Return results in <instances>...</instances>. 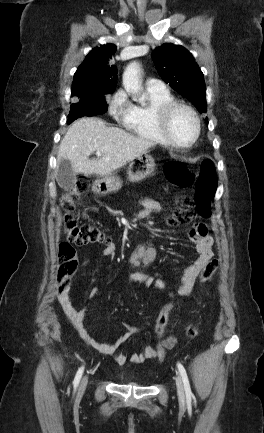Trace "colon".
<instances>
[{"mask_svg": "<svg viewBox=\"0 0 264 433\" xmlns=\"http://www.w3.org/2000/svg\"><path fill=\"white\" fill-rule=\"evenodd\" d=\"M164 172L167 180L180 188L194 186L192 196H183L178 201V208L168 218L170 225L189 224L198 217H209L212 212V199L216 186V174L211 160L204 159L197 169H192L184 164L168 162ZM88 182L84 179L77 183L63 196L62 206L65 210L63 229L67 236V241L62 242L58 254V282L59 291H62L78 266V255L73 247L86 246L90 244L111 243L101 229L89 224H80L74 216L76 201L82 198L88 191ZM219 262L217 259H210L204 266L200 274V282H205L217 271ZM172 302L167 303L160 311L156 325V343H160L164 338L165 329L169 315L172 310ZM198 328L189 325L186 328V335L194 338L198 335ZM165 356V350L160 348L158 359L161 361Z\"/></svg>", "mask_w": 264, "mask_h": 433, "instance_id": "obj_1", "label": "colon"}]
</instances>
